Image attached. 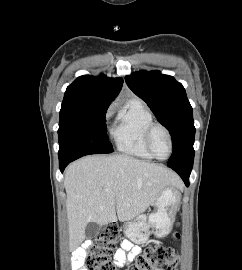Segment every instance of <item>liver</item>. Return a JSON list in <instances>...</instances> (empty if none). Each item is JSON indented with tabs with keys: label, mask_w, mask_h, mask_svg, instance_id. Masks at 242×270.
Wrapping results in <instances>:
<instances>
[{
	"label": "liver",
	"mask_w": 242,
	"mask_h": 270,
	"mask_svg": "<svg viewBox=\"0 0 242 270\" xmlns=\"http://www.w3.org/2000/svg\"><path fill=\"white\" fill-rule=\"evenodd\" d=\"M64 186L70 246L77 247L88 223L133 220L164 188L182 184L175 173L155 163L128 155H92L68 166Z\"/></svg>",
	"instance_id": "1"
}]
</instances>
